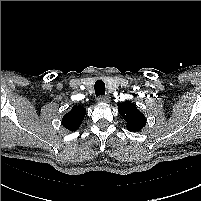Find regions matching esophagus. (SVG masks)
Wrapping results in <instances>:
<instances>
[{
    "mask_svg": "<svg viewBox=\"0 0 201 201\" xmlns=\"http://www.w3.org/2000/svg\"><path fill=\"white\" fill-rule=\"evenodd\" d=\"M97 101H98V102H102V103H108V102H110V96H108V95L99 96V97L97 98Z\"/></svg>",
    "mask_w": 201,
    "mask_h": 201,
    "instance_id": "obj_1",
    "label": "esophagus"
}]
</instances>
